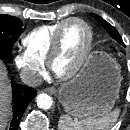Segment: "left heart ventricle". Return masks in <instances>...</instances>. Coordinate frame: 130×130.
<instances>
[{"label": "left heart ventricle", "instance_id": "left-heart-ventricle-1", "mask_svg": "<svg viewBox=\"0 0 130 130\" xmlns=\"http://www.w3.org/2000/svg\"><path fill=\"white\" fill-rule=\"evenodd\" d=\"M87 40L88 33L82 24H68L62 34L61 50L54 62V69L59 73L68 72L83 54Z\"/></svg>", "mask_w": 130, "mask_h": 130}]
</instances>
